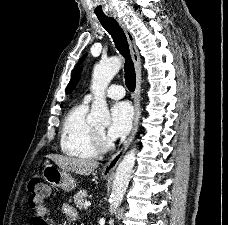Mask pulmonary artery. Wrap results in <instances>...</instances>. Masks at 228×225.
<instances>
[{
	"label": "pulmonary artery",
	"mask_w": 228,
	"mask_h": 225,
	"mask_svg": "<svg viewBox=\"0 0 228 225\" xmlns=\"http://www.w3.org/2000/svg\"><path fill=\"white\" fill-rule=\"evenodd\" d=\"M124 95H125V90L120 85H112L107 91V96L111 99H120L124 97ZM90 100H91V95L90 94L85 95L84 101L89 102Z\"/></svg>",
	"instance_id": "obj_1"
}]
</instances>
